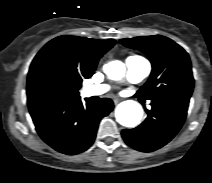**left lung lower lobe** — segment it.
I'll list each match as a JSON object with an SVG mask.
<instances>
[{
  "label": "left lung lower lobe",
  "instance_id": "left-lung-lower-lobe-1",
  "mask_svg": "<svg viewBox=\"0 0 212 183\" xmlns=\"http://www.w3.org/2000/svg\"><path fill=\"white\" fill-rule=\"evenodd\" d=\"M188 100L152 99L147 118L134 129H124L122 137L132 148L155 151L167 144L183 125L188 109Z\"/></svg>",
  "mask_w": 212,
  "mask_h": 183
}]
</instances>
